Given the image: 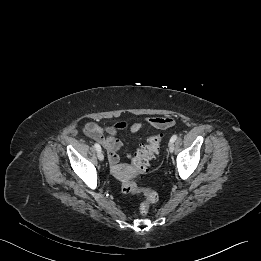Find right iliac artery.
<instances>
[{
    "label": "right iliac artery",
    "mask_w": 261,
    "mask_h": 261,
    "mask_svg": "<svg viewBox=\"0 0 261 261\" xmlns=\"http://www.w3.org/2000/svg\"><path fill=\"white\" fill-rule=\"evenodd\" d=\"M94 147H95V149H96L98 152L101 151V147H100L99 144L95 143V144H94Z\"/></svg>",
    "instance_id": "1"
}]
</instances>
